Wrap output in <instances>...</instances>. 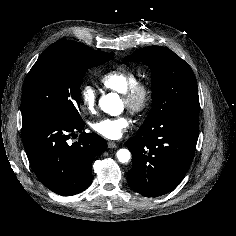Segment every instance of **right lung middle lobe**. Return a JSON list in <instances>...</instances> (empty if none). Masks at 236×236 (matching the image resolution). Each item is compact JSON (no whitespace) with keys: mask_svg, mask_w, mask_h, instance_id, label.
<instances>
[{"mask_svg":"<svg viewBox=\"0 0 236 236\" xmlns=\"http://www.w3.org/2000/svg\"><path fill=\"white\" fill-rule=\"evenodd\" d=\"M114 53H83L72 41L50 45L28 73L22 93V121L35 116L81 119L80 86L87 69L109 61Z\"/></svg>","mask_w":236,"mask_h":236,"instance_id":"1","label":"right lung middle lobe"}]
</instances>
